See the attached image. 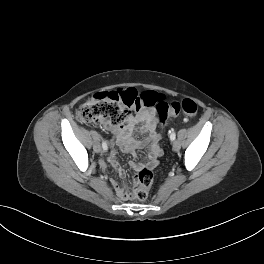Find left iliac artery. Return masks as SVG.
<instances>
[{
    "label": "left iliac artery",
    "mask_w": 264,
    "mask_h": 264,
    "mask_svg": "<svg viewBox=\"0 0 264 264\" xmlns=\"http://www.w3.org/2000/svg\"><path fill=\"white\" fill-rule=\"evenodd\" d=\"M175 138H176V134H175V132L173 131V132L171 133V135H170V139L173 141V140H175Z\"/></svg>",
    "instance_id": "1"
}]
</instances>
